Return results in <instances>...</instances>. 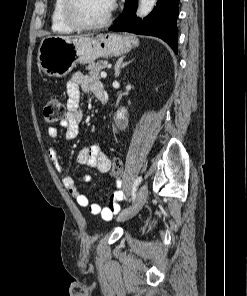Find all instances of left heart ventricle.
<instances>
[{
	"label": "left heart ventricle",
	"mask_w": 247,
	"mask_h": 296,
	"mask_svg": "<svg viewBox=\"0 0 247 296\" xmlns=\"http://www.w3.org/2000/svg\"><path fill=\"white\" fill-rule=\"evenodd\" d=\"M109 12L107 0H80L77 8L79 19L87 24L103 21Z\"/></svg>",
	"instance_id": "b2bd125f"
}]
</instances>
